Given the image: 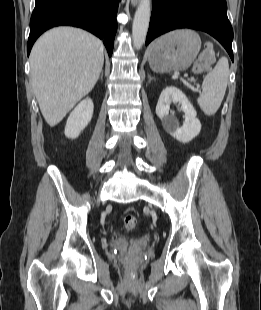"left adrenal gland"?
<instances>
[{
  "label": "left adrenal gland",
  "mask_w": 261,
  "mask_h": 310,
  "mask_svg": "<svg viewBox=\"0 0 261 310\" xmlns=\"http://www.w3.org/2000/svg\"><path fill=\"white\" fill-rule=\"evenodd\" d=\"M148 79H149L148 81L151 82V81L154 80L155 78H154V77H151V75L148 74Z\"/></svg>",
  "instance_id": "obj_1"
}]
</instances>
